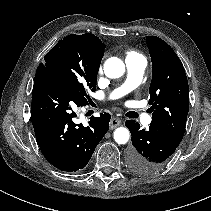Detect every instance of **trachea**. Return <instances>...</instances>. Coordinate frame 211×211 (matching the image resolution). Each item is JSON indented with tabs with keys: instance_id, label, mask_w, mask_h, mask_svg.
<instances>
[{
	"instance_id": "trachea-1",
	"label": "trachea",
	"mask_w": 211,
	"mask_h": 211,
	"mask_svg": "<svg viewBox=\"0 0 211 211\" xmlns=\"http://www.w3.org/2000/svg\"><path fill=\"white\" fill-rule=\"evenodd\" d=\"M128 117L130 118H137L138 117V113L134 112V111H130L128 114Z\"/></svg>"
}]
</instances>
